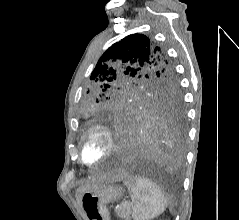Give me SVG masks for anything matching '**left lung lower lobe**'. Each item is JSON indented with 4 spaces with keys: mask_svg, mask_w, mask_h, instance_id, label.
I'll return each mask as SVG.
<instances>
[{
    "mask_svg": "<svg viewBox=\"0 0 239 220\" xmlns=\"http://www.w3.org/2000/svg\"><path fill=\"white\" fill-rule=\"evenodd\" d=\"M110 127L117 140L116 164H168L182 161L185 139V113L124 112L110 110L97 120Z\"/></svg>",
    "mask_w": 239,
    "mask_h": 220,
    "instance_id": "obj_1",
    "label": "left lung lower lobe"
}]
</instances>
